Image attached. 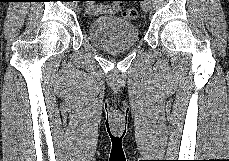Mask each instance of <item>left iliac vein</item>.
<instances>
[{
    "label": "left iliac vein",
    "instance_id": "obj_1",
    "mask_svg": "<svg viewBox=\"0 0 229 161\" xmlns=\"http://www.w3.org/2000/svg\"><path fill=\"white\" fill-rule=\"evenodd\" d=\"M141 6H142L143 11L148 12L150 10V7H151V0L142 1Z\"/></svg>",
    "mask_w": 229,
    "mask_h": 161
}]
</instances>
